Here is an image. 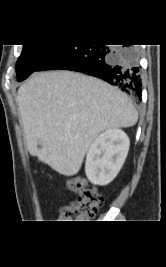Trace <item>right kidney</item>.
Segmentation results:
<instances>
[{
  "instance_id": "right-kidney-1",
  "label": "right kidney",
  "mask_w": 166,
  "mask_h": 267,
  "mask_svg": "<svg viewBox=\"0 0 166 267\" xmlns=\"http://www.w3.org/2000/svg\"><path fill=\"white\" fill-rule=\"evenodd\" d=\"M130 141L120 129H109L91 144L85 163V173L96 185L110 183L122 168L128 154Z\"/></svg>"
}]
</instances>
